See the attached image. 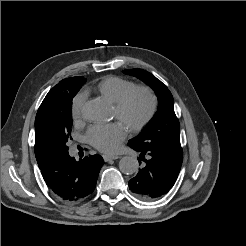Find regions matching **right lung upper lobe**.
<instances>
[{"label": "right lung upper lobe", "instance_id": "cb5924a9", "mask_svg": "<svg viewBox=\"0 0 246 246\" xmlns=\"http://www.w3.org/2000/svg\"><path fill=\"white\" fill-rule=\"evenodd\" d=\"M81 76L66 78L54 86L46 95L42 104L40 105L35 118V156L38 166L43 169L54 157L52 146L48 139V105L58 92L70 85L78 82H85Z\"/></svg>", "mask_w": 246, "mask_h": 246}]
</instances>
